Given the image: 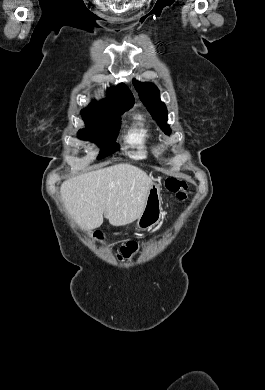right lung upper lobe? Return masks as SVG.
Instances as JSON below:
<instances>
[{
    "label": "right lung upper lobe",
    "instance_id": "right-lung-upper-lobe-1",
    "mask_svg": "<svg viewBox=\"0 0 265 390\" xmlns=\"http://www.w3.org/2000/svg\"><path fill=\"white\" fill-rule=\"evenodd\" d=\"M134 104V97L128 87L119 84L117 87L108 89L106 99L93 101L85 111H93L110 117L120 118L121 114L130 109Z\"/></svg>",
    "mask_w": 265,
    "mask_h": 390
}]
</instances>
